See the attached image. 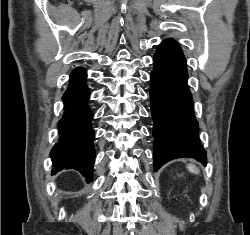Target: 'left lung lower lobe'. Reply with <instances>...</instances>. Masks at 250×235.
<instances>
[{"mask_svg": "<svg viewBox=\"0 0 250 235\" xmlns=\"http://www.w3.org/2000/svg\"><path fill=\"white\" fill-rule=\"evenodd\" d=\"M150 77L154 121V167L177 158H193L206 165V151L198 137L197 121L187 84L186 59L173 39L164 40L153 58Z\"/></svg>", "mask_w": 250, "mask_h": 235, "instance_id": "left-lung-lower-lobe-1", "label": "left lung lower lobe"}]
</instances>
